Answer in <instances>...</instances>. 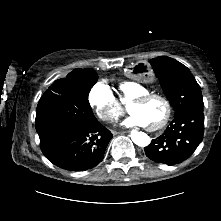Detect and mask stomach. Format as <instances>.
Here are the masks:
<instances>
[{
    "instance_id": "1",
    "label": "stomach",
    "mask_w": 221,
    "mask_h": 221,
    "mask_svg": "<svg viewBox=\"0 0 221 221\" xmlns=\"http://www.w3.org/2000/svg\"><path fill=\"white\" fill-rule=\"evenodd\" d=\"M128 75L134 81L150 84L155 81L157 72L147 62H134L128 68Z\"/></svg>"
}]
</instances>
